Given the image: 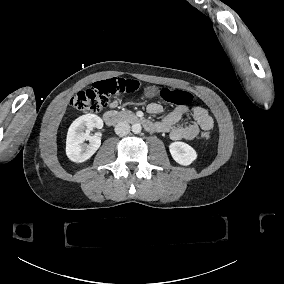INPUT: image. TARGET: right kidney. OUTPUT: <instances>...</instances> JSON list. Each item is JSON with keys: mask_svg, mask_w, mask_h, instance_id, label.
I'll use <instances>...</instances> for the list:
<instances>
[{"mask_svg": "<svg viewBox=\"0 0 284 284\" xmlns=\"http://www.w3.org/2000/svg\"><path fill=\"white\" fill-rule=\"evenodd\" d=\"M102 120L92 114H87L76 119L70 126L67 143L66 154L69 160L75 163H82L89 160L100 148L101 140L97 136H88L83 131L88 127L102 128ZM89 140V144H84L85 140Z\"/></svg>", "mask_w": 284, "mask_h": 284, "instance_id": "right-kidney-1", "label": "right kidney"}]
</instances>
